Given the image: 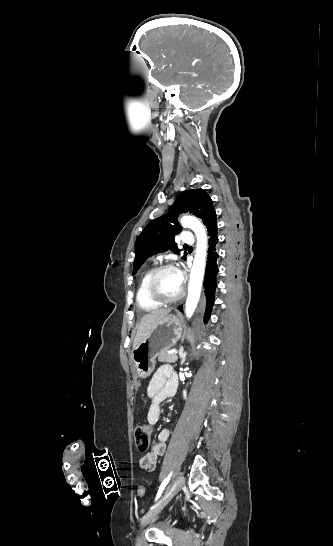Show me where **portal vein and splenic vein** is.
<instances>
[{
	"mask_svg": "<svg viewBox=\"0 0 333 546\" xmlns=\"http://www.w3.org/2000/svg\"><path fill=\"white\" fill-rule=\"evenodd\" d=\"M172 353H178V351H177V350H174V351H172Z\"/></svg>",
	"mask_w": 333,
	"mask_h": 546,
	"instance_id": "18ae733b",
	"label": "portal vein and splenic vein"
}]
</instances>
